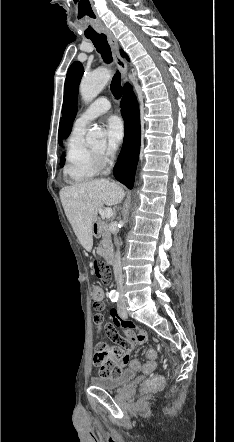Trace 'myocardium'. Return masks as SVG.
Segmentation results:
<instances>
[{
  "label": "myocardium",
  "instance_id": "f54148a6",
  "mask_svg": "<svg viewBox=\"0 0 234 442\" xmlns=\"http://www.w3.org/2000/svg\"><path fill=\"white\" fill-rule=\"evenodd\" d=\"M94 162L98 169H102L107 165V159L104 157L103 152L96 151L94 149H91Z\"/></svg>",
  "mask_w": 234,
  "mask_h": 442
}]
</instances>
